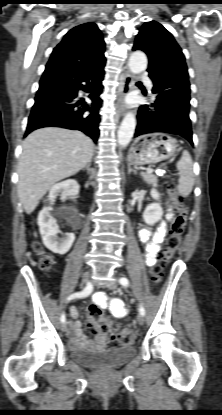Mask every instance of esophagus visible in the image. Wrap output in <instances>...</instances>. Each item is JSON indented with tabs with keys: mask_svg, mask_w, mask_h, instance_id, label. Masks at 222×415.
Wrapping results in <instances>:
<instances>
[{
	"mask_svg": "<svg viewBox=\"0 0 222 415\" xmlns=\"http://www.w3.org/2000/svg\"><path fill=\"white\" fill-rule=\"evenodd\" d=\"M132 84L133 76L130 72H126L122 77V85L119 90V96L117 101V110L121 116L124 115L126 111L123 99L130 92Z\"/></svg>",
	"mask_w": 222,
	"mask_h": 415,
	"instance_id": "obj_1",
	"label": "esophagus"
}]
</instances>
